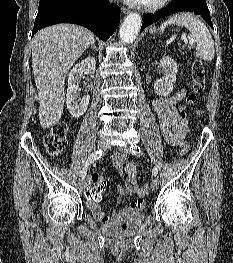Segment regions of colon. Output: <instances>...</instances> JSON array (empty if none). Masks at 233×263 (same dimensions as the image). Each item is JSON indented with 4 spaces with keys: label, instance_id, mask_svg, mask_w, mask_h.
<instances>
[{
    "label": "colon",
    "instance_id": "5ec220e1",
    "mask_svg": "<svg viewBox=\"0 0 233 263\" xmlns=\"http://www.w3.org/2000/svg\"><path fill=\"white\" fill-rule=\"evenodd\" d=\"M191 78L193 81V87L189 95L187 96L186 103L187 105H192L196 102L198 96L205 89V71L204 66L200 60H194L191 68ZM181 118L184 121H187V113L185 111L181 112ZM67 133L68 126L65 122L59 121L55 123L50 131L46 133L43 138V146L46 152L50 156L60 155L67 145ZM187 151V145L181 149V153L184 154ZM129 169L132 170L133 166L130 165ZM103 169H94L93 175L90 178L88 190L84 191L86 195L87 202H99L102 193L106 188V182L100 174H103ZM143 189V201L144 197L148 194V185L145 184Z\"/></svg>",
    "mask_w": 233,
    "mask_h": 263
}]
</instances>
